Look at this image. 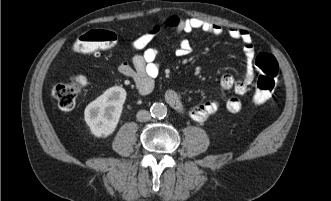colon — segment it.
Returning <instances> with one entry per match:
<instances>
[{"label":"colon","mask_w":331,"mask_h":201,"mask_svg":"<svg viewBox=\"0 0 331 201\" xmlns=\"http://www.w3.org/2000/svg\"><path fill=\"white\" fill-rule=\"evenodd\" d=\"M119 38L110 30H88L75 41L74 50L81 54H94L109 50L117 45ZM255 65L259 71L256 80L253 102L257 105L267 102L273 95L278 78V63L273 55L262 52L255 58ZM86 85L83 75H72L55 83L51 88V95L62 110L74 108L77 98Z\"/></svg>","instance_id":"1"}]
</instances>
